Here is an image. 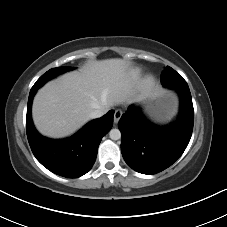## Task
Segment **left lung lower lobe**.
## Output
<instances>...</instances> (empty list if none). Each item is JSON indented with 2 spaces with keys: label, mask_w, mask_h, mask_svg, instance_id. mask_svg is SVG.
<instances>
[{
  "label": "left lung lower lobe",
  "mask_w": 227,
  "mask_h": 227,
  "mask_svg": "<svg viewBox=\"0 0 227 227\" xmlns=\"http://www.w3.org/2000/svg\"><path fill=\"white\" fill-rule=\"evenodd\" d=\"M180 97L178 120L158 127L131 105L119 121L125 162L142 174H156L171 166L185 151L193 131L194 109L189 87L172 88Z\"/></svg>",
  "instance_id": "obj_1"
}]
</instances>
